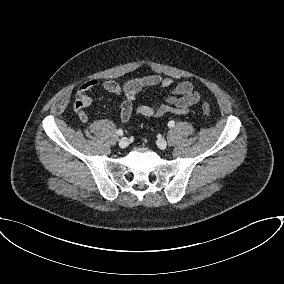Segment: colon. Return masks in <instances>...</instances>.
<instances>
[{"label": "colon", "instance_id": "5ec220e1", "mask_svg": "<svg viewBox=\"0 0 284 284\" xmlns=\"http://www.w3.org/2000/svg\"><path fill=\"white\" fill-rule=\"evenodd\" d=\"M202 111L206 116L210 115L211 108H210V105L207 102L202 103Z\"/></svg>", "mask_w": 284, "mask_h": 284}]
</instances>
